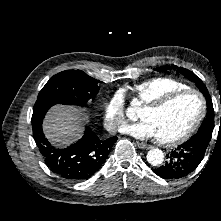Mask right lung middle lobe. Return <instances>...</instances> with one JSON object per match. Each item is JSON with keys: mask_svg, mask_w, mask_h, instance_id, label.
I'll return each mask as SVG.
<instances>
[{"mask_svg": "<svg viewBox=\"0 0 221 221\" xmlns=\"http://www.w3.org/2000/svg\"><path fill=\"white\" fill-rule=\"evenodd\" d=\"M98 80L81 70H67L54 75L40 91L37 101L84 107L99 91Z\"/></svg>", "mask_w": 221, "mask_h": 221, "instance_id": "obj_1", "label": "right lung middle lobe"}]
</instances>
